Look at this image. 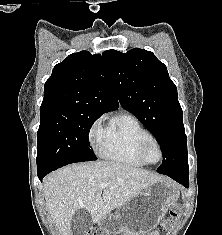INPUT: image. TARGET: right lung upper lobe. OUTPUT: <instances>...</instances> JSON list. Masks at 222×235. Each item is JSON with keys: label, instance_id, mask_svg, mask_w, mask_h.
Returning a JSON list of instances; mask_svg holds the SVG:
<instances>
[{"label": "right lung upper lobe", "instance_id": "obj_1", "mask_svg": "<svg viewBox=\"0 0 222 235\" xmlns=\"http://www.w3.org/2000/svg\"><path fill=\"white\" fill-rule=\"evenodd\" d=\"M118 107L102 56L81 51L53 68L44 85L40 113L71 109L103 114Z\"/></svg>", "mask_w": 222, "mask_h": 235}]
</instances>
